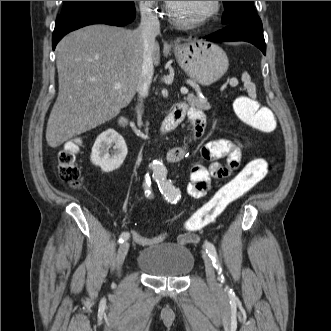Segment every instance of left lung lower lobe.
<instances>
[{"mask_svg": "<svg viewBox=\"0 0 331 331\" xmlns=\"http://www.w3.org/2000/svg\"><path fill=\"white\" fill-rule=\"evenodd\" d=\"M208 41H246L258 47L266 54V44L263 36V27L260 18L239 21L225 25V27L205 37Z\"/></svg>", "mask_w": 331, "mask_h": 331, "instance_id": "obj_1", "label": "left lung lower lobe"}]
</instances>
